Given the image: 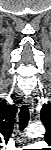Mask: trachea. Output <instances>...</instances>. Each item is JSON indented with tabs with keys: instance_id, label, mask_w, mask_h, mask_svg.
I'll return each instance as SVG.
<instances>
[{
	"instance_id": "1",
	"label": "trachea",
	"mask_w": 51,
	"mask_h": 150,
	"mask_svg": "<svg viewBox=\"0 0 51 150\" xmlns=\"http://www.w3.org/2000/svg\"><path fill=\"white\" fill-rule=\"evenodd\" d=\"M30 118L29 108L27 105H22L19 114V129L23 131L28 124Z\"/></svg>"
}]
</instances>
